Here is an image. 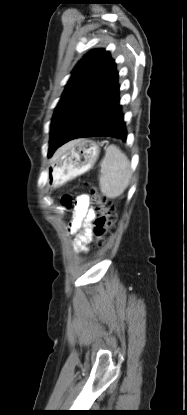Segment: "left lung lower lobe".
Listing matches in <instances>:
<instances>
[{
	"label": "left lung lower lobe",
	"instance_id": "obj_1",
	"mask_svg": "<svg viewBox=\"0 0 187 415\" xmlns=\"http://www.w3.org/2000/svg\"><path fill=\"white\" fill-rule=\"evenodd\" d=\"M87 97L85 103L86 107L91 105L90 114L76 117L59 146L82 137L106 136L126 141L127 132L119 104L118 72L113 59L109 60Z\"/></svg>",
	"mask_w": 187,
	"mask_h": 415
}]
</instances>
